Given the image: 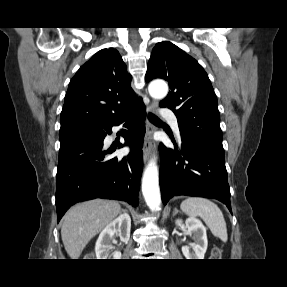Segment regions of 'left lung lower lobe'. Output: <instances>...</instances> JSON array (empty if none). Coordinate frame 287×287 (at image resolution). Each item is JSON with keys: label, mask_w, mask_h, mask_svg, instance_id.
<instances>
[{"label": "left lung lower lobe", "mask_w": 287, "mask_h": 287, "mask_svg": "<svg viewBox=\"0 0 287 287\" xmlns=\"http://www.w3.org/2000/svg\"><path fill=\"white\" fill-rule=\"evenodd\" d=\"M175 148L160 144V189L163 204L173 196L186 195L217 199L231 212L224 151L181 135Z\"/></svg>", "instance_id": "0a47b994"}]
</instances>
